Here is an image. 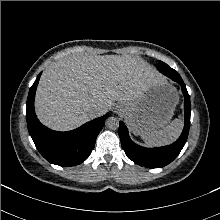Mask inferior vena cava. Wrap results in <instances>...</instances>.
<instances>
[{
    "mask_svg": "<svg viewBox=\"0 0 220 220\" xmlns=\"http://www.w3.org/2000/svg\"><path fill=\"white\" fill-rule=\"evenodd\" d=\"M100 110L101 109L99 107H90L88 109V112H89L91 117L95 118L99 114Z\"/></svg>",
    "mask_w": 220,
    "mask_h": 220,
    "instance_id": "602c4592",
    "label": "inferior vena cava"
}]
</instances>
